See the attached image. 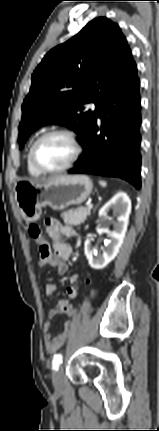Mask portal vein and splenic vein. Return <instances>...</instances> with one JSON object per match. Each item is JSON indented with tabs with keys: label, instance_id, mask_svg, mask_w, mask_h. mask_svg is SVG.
<instances>
[{
	"label": "portal vein and splenic vein",
	"instance_id": "1",
	"mask_svg": "<svg viewBox=\"0 0 159 431\" xmlns=\"http://www.w3.org/2000/svg\"><path fill=\"white\" fill-rule=\"evenodd\" d=\"M93 207V205L92 204H89L88 206H87V208L88 209H91Z\"/></svg>",
	"mask_w": 159,
	"mask_h": 431
}]
</instances>
